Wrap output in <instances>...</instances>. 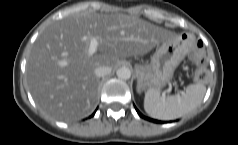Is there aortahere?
Listing matches in <instances>:
<instances>
[{"label":"aorta","instance_id":"762f6f07","mask_svg":"<svg viewBox=\"0 0 238 145\" xmlns=\"http://www.w3.org/2000/svg\"><path fill=\"white\" fill-rule=\"evenodd\" d=\"M119 79L128 80L131 77V70L128 67H121L116 71Z\"/></svg>","mask_w":238,"mask_h":145}]
</instances>
